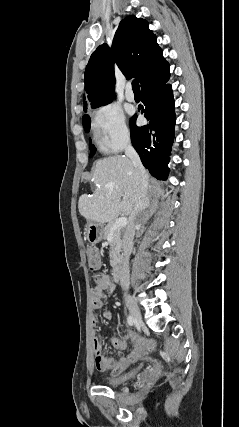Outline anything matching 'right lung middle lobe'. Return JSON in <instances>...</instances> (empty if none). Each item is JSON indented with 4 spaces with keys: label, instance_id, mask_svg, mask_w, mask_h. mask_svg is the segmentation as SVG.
<instances>
[{
    "label": "right lung middle lobe",
    "instance_id": "dd1d6c3e",
    "mask_svg": "<svg viewBox=\"0 0 239 427\" xmlns=\"http://www.w3.org/2000/svg\"><path fill=\"white\" fill-rule=\"evenodd\" d=\"M82 122H83V126H84L85 131L88 132L90 129V122H91L90 117L88 115H85L82 119ZM95 152H96V148L94 146H91L89 157H93Z\"/></svg>",
    "mask_w": 239,
    "mask_h": 427
}]
</instances>
